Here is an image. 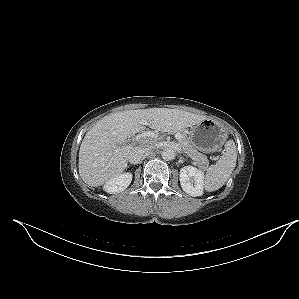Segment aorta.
Here are the masks:
<instances>
[{
    "instance_id": "obj_1",
    "label": "aorta",
    "mask_w": 299,
    "mask_h": 299,
    "mask_svg": "<svg viewBox=\"0 0 299 299\" xmlns=\"http://www.w3.org/2000/svg\"><path fill=\"white\" fill-rule=\"evenodd\" d=\"M175 154H176V152L173 148L167 147V148L163 149L161 156H162L163 160L171 161L175 158Z\"/></svg>"
}]
</instances>
